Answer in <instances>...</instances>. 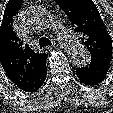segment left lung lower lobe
I'll return each mask as SVG.
<instances>
[{
  "label": "left lung lower lobe",
  "mask_w": 113,
  "mask_h": 113,
  "mask_svg": "<svg viewBox=\"0 0 113 113\" xmlns=\"http://www.w3.org/2000/svg\"><path fill=\"white\" fill-rule=\"evenodd\" d=\"M108 69L109 65L101 63L96 59H91L89 65L76 69V75L85 85L94 86L104 80Z\"/></svg>",
  "instance_id": "1"
}]
</instances>
